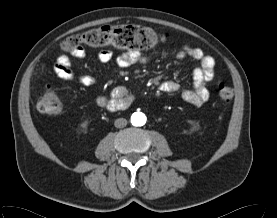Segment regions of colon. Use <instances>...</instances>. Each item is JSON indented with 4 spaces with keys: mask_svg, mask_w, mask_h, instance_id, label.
Returning a JSON list of instances; mask_svg holds the SVG:
<instances>
[{
    "mask_svg": "<svg viewBox=\"0 0 277 218\" xmlns=\"http://www.w3.org/2000/svg\"><path fill=\"white\" fill-rule=\"evenodd\" d=\"M164 41V37L152 28L140 25H105L90 29L80 35L66 38L61 48L73 52L82 46L146 51ZM218 97L222 102H230L234 89L226 83L217 86ZM37 109L48 115H57L62 111V101L54 88H47L37 102Z\"/></svg>",
    "mask_w": 277,
    "mask_h": 218,
    "instance_id": "1",
    "label": "colon"
}]
</instances>
